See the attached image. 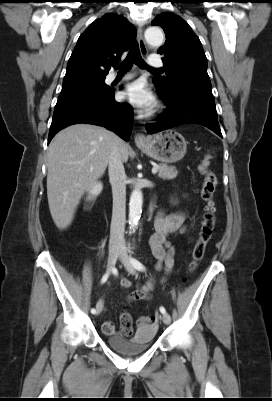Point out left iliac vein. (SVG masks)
Segmentation results:
<instances>
[{
  "instance_id": "left-iliac-vein-1",
  "label": "left iliac vein",
  "mask_w": 272,
  "mask_h": 401,
  "mask_svg": "<svg viewBox=\"0 0 272 401\" xmlns=\"http://www.w3.org/2000/svg\"><path fill=\"white\" fill-rule=\"evenodd\" d=\"M119 259L123 263L125 269L129 273H131V274L136 273L134 266L132 265L131 260L125 250L122 249L120 251ZM161 319H162L163 323H165V324H170V322H171V318H170L169 314H166V313L161 316Z\"/></svg>"
}]
</instances>
